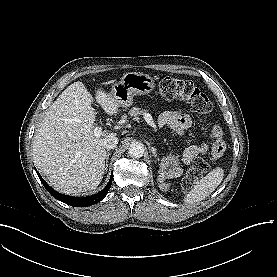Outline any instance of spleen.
<instances>
[{
    "label": "spleen",
    "instance_id": "obj_1",
    "mask_svg": "<svg viewBox=\"0 0 277 277\" xmlns=\"http://www.w3.org/2000/svg\"><path fill=\"white\" fill-rule=\"evenodd\" d=\"M224 170L220 167L213 169L200 182L187 193L184 198L185 203L193 204L202 201L209 196L217 186L222 182Z\"/></svg>",
    "mask_w": 277,
    "mask_h": 277
}]
</instances>
